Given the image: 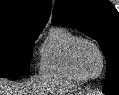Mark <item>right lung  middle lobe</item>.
Masks as SVG:
<instances>
[{
  "label": "right lung middle lobe",
  "mask_w": 119,
  "mask_h": 95,
  "mask_svg": "<svg viewBox=\"0 0 119 95\" xmlns=\"http://www.w3.org/2000/svg\"><path fill=\"white\" fill-rule=\"evenodd\" d=\"M42 30L15 28L0 33V77L29 73L34 41Z\"/></svg>",
  "instance_id": "right-lung-middle-lobe-1"
}]
</instances>
